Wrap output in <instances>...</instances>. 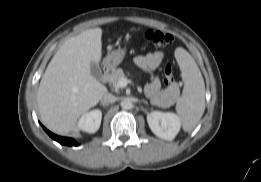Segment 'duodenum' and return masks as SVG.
I'll return each instance as SVG.
<instances>
[{
	"mask_svg": "<svg viewBox=\"0 0 261 182\" xmlns=\"http://www.w3.org/2000/svg\"><path fill=\"white\" fill-rule=\"evenodd\" d=\"M109 72H110V67L104 66L103 67V81H106L108 79Z\"/></svg>",
	"mask_w": 261,
	"mask_h": 182,
	"instance_id": "1",
	"label": "duodenum"
}]
</instances>
